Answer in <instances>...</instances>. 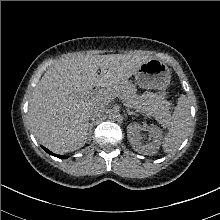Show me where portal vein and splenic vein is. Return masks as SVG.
I'll return each instance as SVG.
<instances>
[{
	"instance_id": "1",
	"label": "portal vein and splenic vein",
	"mask_w": 220,
	"mask_h": 220,
	"mask_svg": "<svg viewBox=\"0 0 220 220\" xmlns=\"http://www.w3.org/2000/svg\"><path fill=\"white\" fill-rule=\"evenodd\" d=\"M93 96H96V93H94V92H91V93H90V92H89V93L86 94V97H88V98H89V97H93Z\"/></svg>"
}]
</instances>
